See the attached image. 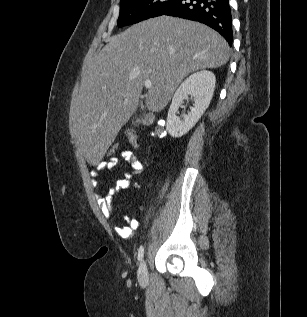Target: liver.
Returning a JSON list of instances; mask_svg holds the SVG:
<instances>
[{"label":"liver","mask_w":307,"mask_h":317,"mask_svg":"<svg viewBox=\"0 0 307 317\" xmlns=\"http://www.w3.org/2000/svg\"><path fill=\"white\" fill-rule=\"evenodd\" d=\"M226 40L216 31L176 17L152 18L108 39L82 76L70 117L87 161L98 164L136 111L145 80L148 110L161 111L190 73L225 65Z\"/></svg>","instance_id":"obj_1"}]
</instances>
